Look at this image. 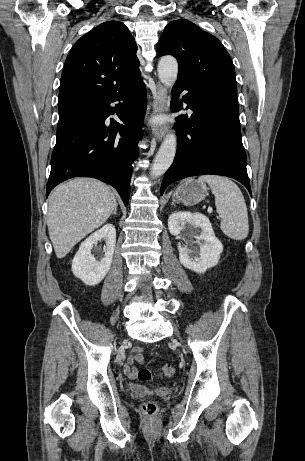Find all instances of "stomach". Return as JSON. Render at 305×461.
Listing matches in <instances>:
<instances>
[{
  "instance_id": "1",
  "label": "stomach",
  "mask_w": 305,
  "mask_h": 461,
  "mask_svg": "<svg viewBox=\"0 0 305 461\" xmlns=\"http://www.w3.org/2000/svg\"><path fill=\"white\" fill-rule=\"evenodd\" d=\"M208 194V188L204 183L189 179L181 184L173 194V201L193 206L202 201Z\"/></svg>"
}]
</instances>
